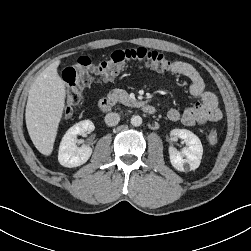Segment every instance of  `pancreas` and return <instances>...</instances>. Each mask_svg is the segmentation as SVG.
<instances>
[{
	"mask_svg": "<svg viewBox=\"0 0 251 251\" xmlns=\"http://www.w3.org/2000/svg\"><path fill=\"white\" fill-rule=\"evenodd\" d=\"M108 98L113 102H120L125 105H130L132 100L129 98L128 93L123 89H114L108 93Z\"/></svg>",
	"mask_w": 251,
	"mask_h": 251,
	"instance_id": "pancreas-1",
	"label": "pancreas"
}]
</instances>
